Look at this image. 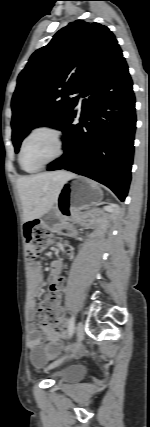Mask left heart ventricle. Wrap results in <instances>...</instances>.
<instances>
[{"label": "left heart ventricle", "instance_id": "b2bd125f", "mask_svg": "<svg viewBox=\"0 0 150 427\" xmlns=\"http://www.w3.org/2000/svg\"><path fill=\"white\" fill-rule=\"evenodd\" d=\"M57 152L55 138L49 133H38L26 144L22 161L28 170H33L51 159Z\"/></svg>", "mask_w": 150, "mask_h": 427}]
</instances>
